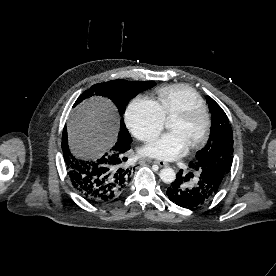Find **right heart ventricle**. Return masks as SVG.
Instances as JSON below:
<instances>
[{
	"label": "right heart ventricle",
	"mask_w": 276,
	"mask_h": 276,
	"mask_svg": "<svg viewBox=\"0 0 276 276\" xmlns=\"http://www.w3.org/2000/svg\"><path fill=\"white\" fill-rule=\"evenodd\" d=\"M156 103L165 119H171L191 106L205 107L201 95L185 84H174L156 90Z\"/></svg>",
	"instance_id": "obj_1"
}]
</instances>
